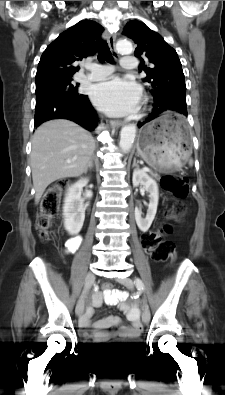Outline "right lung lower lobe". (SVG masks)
<instances>
[{
    "instance_id": "98d812e1",
    "label": "right lung lower lobe",
    "mask_w": 225,
    "mask_h": 395,
    "mask_svg": "<svg viewBox=\"0 0 225 395\" xmlns=\"http://www.w3.org/2000/svg\"><path fill=\"white\" fill-rule=\"evenodd\" d=\"M51 119H69L87 130H93L98 118L88 96H61L35 108V126Z\"/></svg>"
}]
</instances>
